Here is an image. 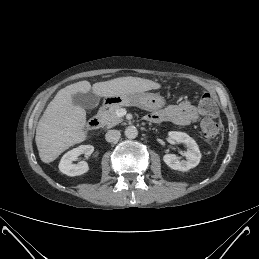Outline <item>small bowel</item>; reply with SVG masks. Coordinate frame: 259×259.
Returning a JSON list of instances; mask_svg holds the SVG:
<instances>
[{"label":"small bowel","instance_id":"obj_1","mask_svg":"<svg viewBox=\"0 0 259 259\" xmlns=\"http://www.w3.org/2000/svg\"><path fill=\"white\" fill-rule=\"evenodd\" d=\"M200 114H205L201 105L196 107L190 101L184 100L148 114L146 120L153 123L171 122L185 126L196 122Z\"/></svg>","mask_w":259,"mask_h":259}]
</instances>
